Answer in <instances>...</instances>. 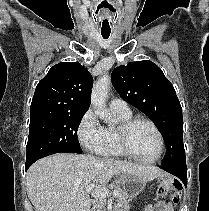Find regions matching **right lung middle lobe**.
Listing matches in <instances>:
<instances>
[{
  "label": "right lung middle lobe",
  "mask_w": 209,
  "mask_h": 211,
  "mask_svg": "<svg viewBox=\"0 0 209 211\" xmlns=\"http://www.w3.org/2000/svg\"><path fill=\"white\" fill-rule=\"evenodd\" d=\"M84 114L30 116L26 164L54 153H82L77 130Z\"/></svg>",
  "instance_id": "right-lung-middle-lobe-1"
}]
</instances>
